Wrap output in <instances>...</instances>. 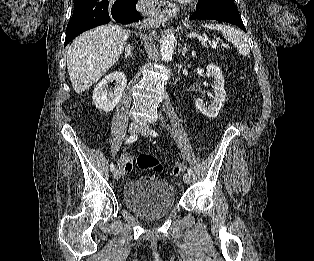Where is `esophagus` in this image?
Segmentation results:
<instances>
[{"instance_id": "esophagus-1", "label": "esophagus", "mask_w": 314, "mask_h": 261, "mask_svg": "<svg viewBox=\"0 0 314 261\" xmlns=\"http://www.w3.org/2000/svg\"><path fill=\"white\" fill-rule=\"evenodd\" d=\"M155 12L157 14H163V15H172V14H175L177 12V7L175 5H166L165 8H163L162 10H156L155 9Z\"/></svg>"}]
</instances>
